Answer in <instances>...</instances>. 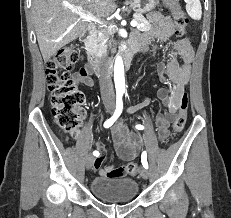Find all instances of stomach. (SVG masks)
<instances>
[{"label": "stomach", "instance_id": "stomach-1", "mask_svg": "<svg viewBox=\"0 0 231 218\" xmlns=\"http://www.w3.org/2000/svg\"><path fill=\"white\" fill-rule=\"evenodd\" d=\"M159 0H131V6L139 13H147L155 9Z\"/></svg>", "mask_w": 231, "mask_h": 218}]
</instances>
